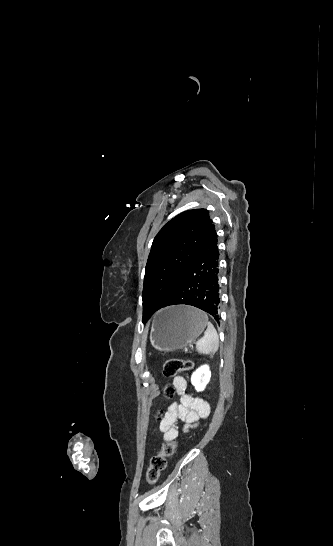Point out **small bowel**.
Listing matches in <instances>:
<instances>
[{"label":"small bowel","mask_w":333,"mask_h":546,"mask_svg":"<svg viewBox=\"0 0 333 546\" xmlns=\"http://www.w3.org/2000/svg\"><path fill=\"white\" fill-rule=\"evenodd\" d=\"M173 387L179 396V402L169 405L159 423V430L164 441H173L179 435L178 422L181 421L185 431L195 428L201 420L210 414V406L204 400L187 394L188 384L184 377L176 376Z\"/></svg>","instance_id":"1"}]
</instances>
